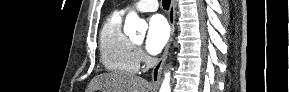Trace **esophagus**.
Returning a JSON list of instances; mask_svg holds the SVG:
<instances>
[{
	"label": "esophagus",
	"mask_w": 289,
	"mask_h": 92,
	"mask_svg": "<svg viewBox=\"0 0 289 92\" xmlns=\"http://www.w3.org/2000/svg\"><path fill=\"white\" fill-rule=\"evenodd\" d=\"M175 9H176V0H171V5L169 8V12H168V20H169L170 29H171L170 37L166 44L163 55L161 56V58L159 59V61L157 62V64L155 65L152 71V84L155 88L159 86L162 69L166 62L168 51H169L171 42L173 40L174 30H175Z\"/></svg>",
	"instance_id": "1"
}]
</instances>
